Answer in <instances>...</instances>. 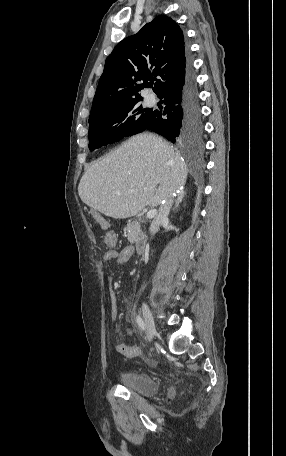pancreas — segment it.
Wrapping results in <instances>:
<instances>
[{
    "instance_id": "cf45deb5",
    "label": "pancreas",
    "mask_w": 286,
    "mask_h": 456,
    "mask_svg": "<svg viewBox=\"0 0 286 456\" xmlns=\"http://www.w3.org/2000/svg\"><path fill=\"white\" fill-rule=\"evenodd\" d=\"M124 230L127 232V239L131 244L139 243L144 235L138 221L127 224Z\"/></svg>"
}]
</instances>
